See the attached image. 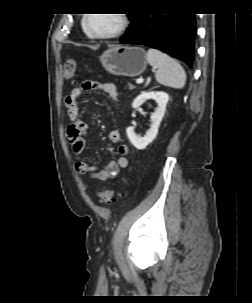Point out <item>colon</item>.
<instances>
[{
  "instance_id": "1",
  "label": "colon",
  "mask_w": 252,
  "mask_h": 303,
  "mask_svg": "<svg viewBox=\"0 0 252 303\" xmlns=\"http://www.w3.org/2000/svg\"><path fill=\"white\" fill-rule=\"evenodd\" d=\"M77 69V62L69 59L64 65V75L67 80H72ZM101 202L106 205L113 204L117 199V194L110 189H101L99 192Z\"/></svg>"
}]
</instances>
